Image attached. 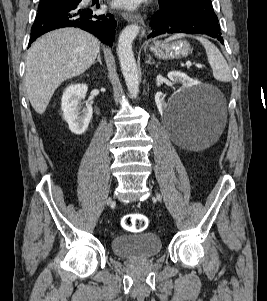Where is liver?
I'll return each mask as SVG.
<instances>
[{"label": "liver", "mask_w": 267, "mask_h": 301, "mask_svg": "<svg viewBox=\"0 0 267 301\" xmlns=\"http://www.w3.org/2000/svg\"><path fill=\"white\" fill-rule=\"evenodd\" d=\"M100 41L78 28H62L37 39L27 53L25 85L34 110L43 114L59 85L95 62Z\"/></svg>", "instance_id": "1"}]
</instances>
